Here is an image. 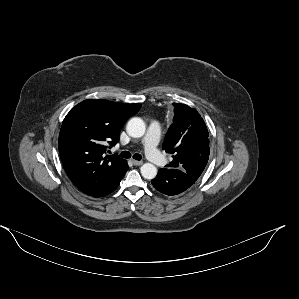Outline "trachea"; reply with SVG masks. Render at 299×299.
Segmentation results:
<instances>
[{
    "label": "trachea",
    "mask_w": 299,
    "mask_h": 299,
    "mask_svg": "<svg viewBox=\"0 0 299 299\" xmlns=\"http://www.w3.org/2000/svg\"><path fill=\"white\" fill-rule=\"evenodd\" d=\"M120 156L122 157V158H130L131 157V153L130 152H128V151H123L121 154H120ZM133 158L135 159V160H141V158H142V156L140 155V154H138V153H135L134 155H133Z\"/></svg>",
    "instance_id": "obj_1"
}]
</instances>
